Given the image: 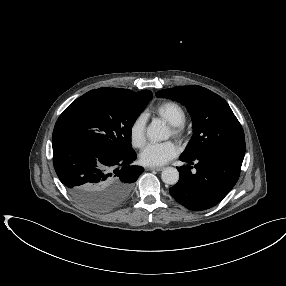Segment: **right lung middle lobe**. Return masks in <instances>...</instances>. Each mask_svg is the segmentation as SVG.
Returning <instances> with one entry per match:
<instances>
[{"mask_svg":"<svg viewBox=\"0 0 286 286\" xmlns=\"http://www.w3.org/2000/svg\"><path fill=\"white\" fill-rule=\"evenodd\" d=\"M152 98L151 94L130 95L114 88L93 89L71 103L57 122L97 146L131 150L132 126ZM85 206L96 211L107 209L94 204Z\"/></svg>","mask_w":286,"mask_h":286,"instance_id":"dd1d6c3e","label":"right lung middle lobe"}]
</instances>
